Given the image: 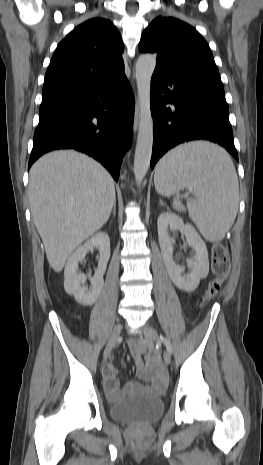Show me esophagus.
Here are the masks:
<instances>
[{"instance_id":"obj_1","label":"esophagus","mask_w":263,"mask_h":465,"mask_svg":"<svg viewBox=\"0 0 263 465\" xmlns=\"http://www.w3.org/2000/svg\"><path fill=\"white\" fill-rule=\"evenodd\" d=\"M138 124H139V103H138V101H137V103H136V109H135V116H134V124H133L134 132L137 131V129H138Z\"/></svg>"}]
</instances>
